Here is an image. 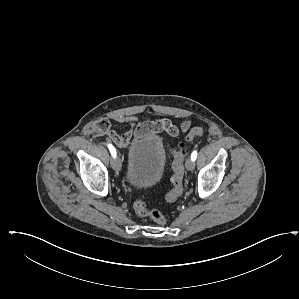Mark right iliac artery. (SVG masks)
<instances>
[{
  "mask_svg": "<svg viewBox=\"0 0 299 299\" xmlns=\"http://www.w3.org/2000/svg\"><path fill=\"white\" fill-rule=\"evenodd\" d=\"M107 146L109 148V151H110L112 157L115 158L116 157V149L114 148V146L112 144L108 143Z\"/></svg>",
  "mask_w": 299,
  "mask_h": 299,
  "instance_id": "right-iliac-artery-1",
  "label": "right iliac artery"
}]
</instances>
